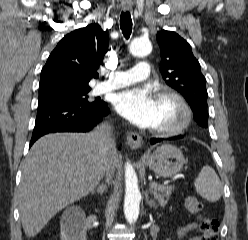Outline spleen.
<instances>
[{
  "label": "spleen",
  "instance_id": "3e777b00",
  "mask_svg": "<svg viewBox=\"0 0 248 240\" xmlns=\"http://www.w3.org/2000/svg\"><path fill=\"white\" fill-rule=\"evenodd\" d=\"M194 185L199 195L207 201L215 202L221 198V181L214 169L208 165L203 167L195 179Z\"/></svg>",
  "mask_w": 248,
  "mask_h": 240
}]
</instances>
